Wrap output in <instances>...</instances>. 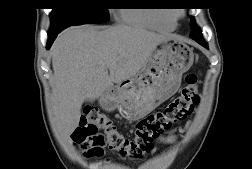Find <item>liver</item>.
<instances>
[{"mask_svg": "<svg viewBox=\"0 0 252 169\" xmlns=\"http://www.w3.org/2000/svg\"><path fill=\"white\" fill-rule=\"evenodd\" d=\"M174 37L118 25L99 30L91 25L62 31L51 47L55 125L68 139L79 125L81 107L136 76L159 43Z\"/></svg>", "mask_w": 252, "mask_h": 169, "instance_id": "liver-1", "label": "liver"}]
</instances>
